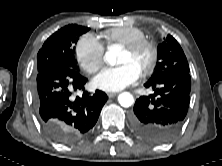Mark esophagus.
Masks as SVG:
<instances>
[{"label":"esophagus","instance_id":"esophagus-1","mask_svg":"<svg viewBox=\"0 0 222 166\" xmlns=\"http://www.w3.org/2000/svg\"><path fill=\"white\" fill-rule=\"evenodd\" d=\"M118 93H115V92H110V93H107L108 97L112 98V97H115Z\"/></svg>","mask_w":222,"mask_h":166}]
</instances>
